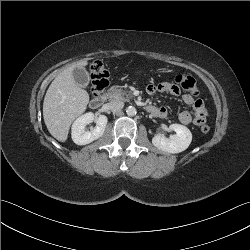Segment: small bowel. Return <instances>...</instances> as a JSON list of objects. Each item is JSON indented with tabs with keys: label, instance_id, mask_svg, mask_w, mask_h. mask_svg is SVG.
<instances>
[{
	"label": "small bowel",
	"instance_id": "small-bowel-1",
	"mask_svg": "<svg viewBox=\"0 0 250 250\" xmlns=\"http://www.w3.org/2000/svg\"><path fill=\"white\" fill-rule=\"evenodd\" d=\"M157 91L159 92H168L171 94H179L180 89L178 86H176L173 83H161L158 86L155 85H149L147 87V92L149 94H154ZM182 100L185 104L191 106L193 108L192 111H184L180 113L179 120L182 124L188 125V124H195L197 126H200L205 123L206 117H207V111L204 105V102L200 98H196L190 94H184L182 96ZM154 112L151 113L154 116L164 118L167 116L168 112L165 107H155Z\"/></svg>",
	"mask_w": 250,
	"mask_h": 250
}]
</instances>
